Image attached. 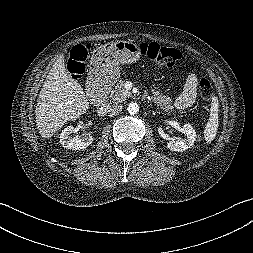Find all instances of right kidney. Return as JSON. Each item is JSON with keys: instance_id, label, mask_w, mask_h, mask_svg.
Wrapping results in <instances>:
<instances>
[{"instance_id": "right-kidney-1", "label": "right kidney", "mask_w": 253, "mask_h": 253, "mask_svg": "<svg viewBox=\"0 0 253 253\" xmlns=\"http://www.w3.org/2000/svg\"><path fill=\"white\" fill-rule=\"evenodd\" d=\"M76 129L73 126H68L60 134V144L67 149L82 150L86 149L92 144L93 138L91 136H76L72 138L70 134L75 133Z\"/></svg>"}]
</instances>
